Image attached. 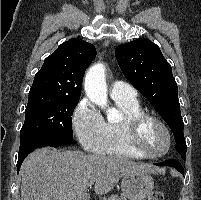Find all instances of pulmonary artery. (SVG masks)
<instances>
[{"mask_svg": "<svg viewBox=\"0 0 201 200\" xmlns=\"http://www.w3.org/2000/svg\"><path fill=\"white\" fill-rule=\"evenodd\" d=\"M112 98L136 99L137 92L129 84L122 81H114L110 88Z\"/></svg>", "mask_w": 201, "mask_h": 200, "instance_id": "obj_1", "label": "pulmonary artery"}]
</instances>
